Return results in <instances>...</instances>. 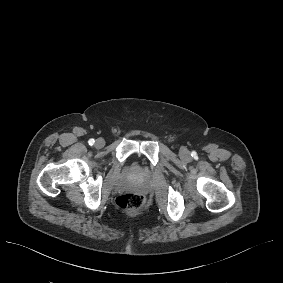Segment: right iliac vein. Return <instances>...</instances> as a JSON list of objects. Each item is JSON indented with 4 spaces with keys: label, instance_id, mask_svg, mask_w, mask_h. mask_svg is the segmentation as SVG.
Wrapping results in <instances>:
<instances>
[{
    "label": "right iliac vein",
    "instance_id": "63e3f726",
    "mask_svg": "<svg viewBox=\"0 0 283 283\" xmlns=\"http://www.w3.org/2000/svg\"><path fill=\"white\" fill-rule=\"evenodd\" d=\"M97 148H103L105 146V141L102 138H98L95 142Z\"/></svg>",
    "mask_w": 283,
    "mask_h": 283
}]
</instances>
